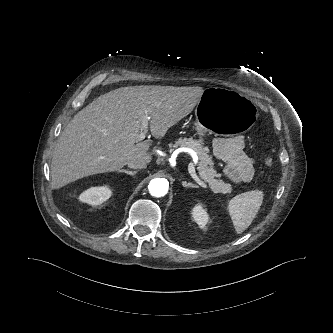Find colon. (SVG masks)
Returning <instances> with one entry per match:
<instances>
[{"label":"colon","mask_w":333,"mask_h":333,"mask_svg":"<svg viewBox=\"0 0 333 333\" xmlns=\"http://www.w3.org/2000/svg\"><path fill=\"white\" fill-rule=\"evenodd\" d=\"M265 162L267 165H271V161L269 159H266Z\"/></svg>","instance_id":"colon-1"}]
</instances>
